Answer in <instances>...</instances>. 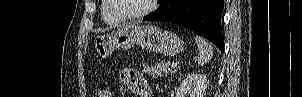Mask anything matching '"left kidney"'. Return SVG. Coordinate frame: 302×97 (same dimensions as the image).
I'll list each match as a JSON object with an SVG mask.
<instances>
[{"label":"left kidney","instance_id":"left-kidney-1","mask_svg":"<svg viewBox=\"0 0 302 97\" xmlns=\"http://www.w3.org/2000/svg\"><path fill=\"white\" fill-rule=\"evenodd\" d=\"M208 80L204 74L188 75L177 89L176 97H204Z\"/></svg>","mask_w":302,"mask_h":97}]
</instances>
